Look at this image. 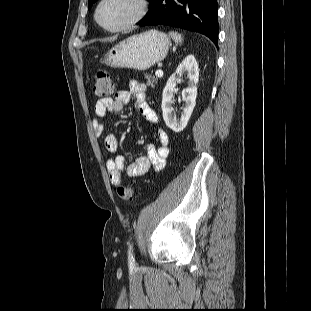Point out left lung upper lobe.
Listing matches in <instances>:
<instances>
[{
  "label": "left lung upper lobe",
  "mask_w": 311,
  "mask_h": 311,
  "mask_svg": "<svg viewBox=\"0 0 311 311\" xmlns=\"http://www.w3.org/2000/svg\"><path fill=\"white\" fill-rule=\"evenodd\" d=\"M97 0H88V9L96 2Z\"/></svg>",
  "instance_id": "1"
}]
</instances>
